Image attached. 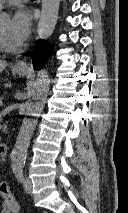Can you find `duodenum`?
Returning a JSON list of instances; mask_svg holds the SVG:
<instances>
[{
    "mask_svg": "<svg viewBox=\"0 0 128 213\" xmlns=\"http://www.w3.org/2000/svg\"><path fill=\"white\" fill-rule=\"evenodd\" d=\"M8 154V145L6 143H0V158L5 159Z\"/></svg>",
    "mask_w": 128,
    "mask_h": 213,
    "instance_id": "1",
    "label": "duodenum"
}]
</instances>
